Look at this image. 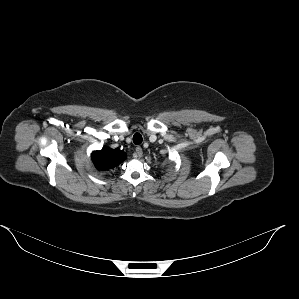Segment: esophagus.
<instances>
[{
	"label": "esophagus",
	"instance_id": "34e87169",
	"mask_svg": "<svg viewBox=\"0 0 299 299\" xmlns=\"http://www.w3.org/2000/svg\"><path fill=\"white\" fill-rule=\"evenodd\" d=\"M143 155V150L140 146L136 147L135 153H134V157L135 158H141Z\"/></svg>",
	"mask_w": 299,
	"mask_h": 299
}]
</instances>
